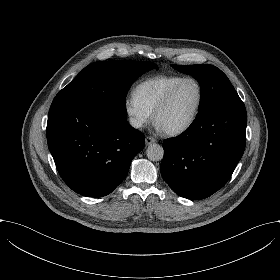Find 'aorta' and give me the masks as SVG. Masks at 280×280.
Returning a JSON list of instances; mask_svg holds the SVG:
<instances>
[{
	"label": "aorta",
	"mask_w": 280,
	"mask_h": 280,
	"mask_svg": "<svg viewBox=\"0 0 280 280\" xmlns=\"http://www.w3.org/2000/svg\"><path fill=\"white\" fill-rule=\"evenodd\" d=\"M147 158L151 161H159L163 158V147L157 143L151 144L146 150Z\"/></svg>",
	"instance_id": "obj_1"
}]
</instances>
